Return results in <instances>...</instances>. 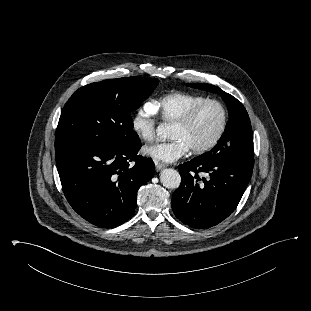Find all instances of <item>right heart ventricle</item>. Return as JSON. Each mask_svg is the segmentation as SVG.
Instances as JSON below:
<instances>
[{
  "mask_svg": "<svg viewBox=\"0 0 311 311\" xmlns=\"http://www.w3.org/2000/svg\"><path fill=\"white\" fill-rule=\"evenodd\" d=\"M205 99V97L196 94L175 92L167 94L152 103L155 112L159 113L164 122L174 123L189 109Z\"/></svg>",
  "mask_w": 311,
  "mask_h": 311,
  "instance_id": "e07e8e85",
  "label": "right heart ventricle"
}]
</instances>
